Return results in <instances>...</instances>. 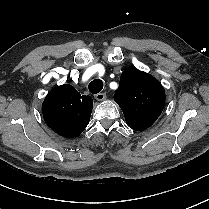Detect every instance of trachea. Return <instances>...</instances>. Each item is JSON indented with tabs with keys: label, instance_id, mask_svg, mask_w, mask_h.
<instances>
[{
	"label": "trachea",
	"instance_id": "1",
	"mask_svg": "<svg viewBox=\"0 0 209 209\" xmlns=\"http://www.w3.org/2000/svg\"><path fill=\"white\" fill-rule=\"evenodd\" d=\"M103 89V81L100 79H95L89 83V91L92 94H97Z\"/></svg>",
	"mask_w": 209,
	"mask_h": 209
}]
</instances>
